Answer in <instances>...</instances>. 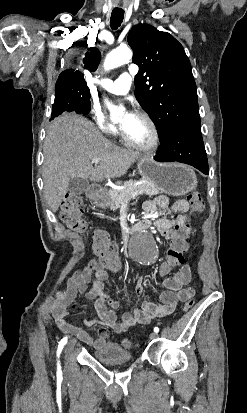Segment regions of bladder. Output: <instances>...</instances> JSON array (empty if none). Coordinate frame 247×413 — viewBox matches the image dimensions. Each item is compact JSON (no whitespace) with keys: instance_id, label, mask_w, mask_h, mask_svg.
Wrapping results in <instances>:
<instances>
[{"instance_id":"1","label":"bladder","mask_w":247,"mask_h":413,"mask_svg":"<svg viewBox=\"0 0 247 413\" xmlns=\"http://www.w3.org/2000/svg\"><path fill=\"white\" fill-rule=\"evenodd\" d=\"M96 360L113 363V362H129L133 360V354L125 351L120 344L107 342L102 349L93 352Z\"/></svg>"}]
</instances>
